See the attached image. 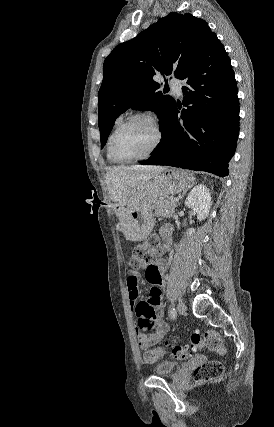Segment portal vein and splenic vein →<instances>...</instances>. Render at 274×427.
<instances>
[{
    "instance_id": "1",
    "label": "portal vein and splenic vein",
    "mask_w": 274,
    "mask_h": 427,
    "mask_svg": "<svg viewBox=\"0 0 274 427\" xmlns=\"http://www.w3.org/2000/svg\"><path fill=\"white\" fill-rule=\"evenodd\" d=\"M174 202H178L177 198H175Z\"/></svg>"
}]
</instances>
